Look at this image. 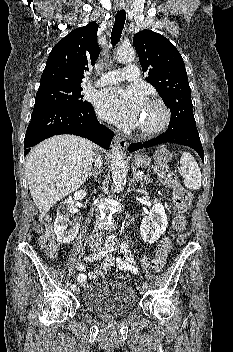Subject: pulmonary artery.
<instances>
[{
    "mask_svg": "<svg viewBox=\"0 0 233 352\" xmlns=\"http://www.w3.org/2000/svg\"><path fill=\"white\" fill-rule=\"evenodd\" d=\"M139 77V69L135 65H127L122 70H113L102 74L96 85H107L123 80L134 81Z\"/></svg>",
    "mask_w": 233,
    "mask_h": 352,
    "instance_id": "1",
    "label": "pulmonary artery"
}]
</instances>
